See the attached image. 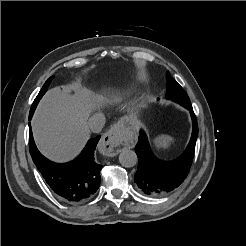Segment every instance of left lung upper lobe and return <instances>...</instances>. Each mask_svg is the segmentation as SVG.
Masks as SVG:
<instances>
[{
	"instance_id": "left-lung-upper-lobe-1",
	"label": "left lung upper lobe",
	"mask_w": 246,
	"mask_h": 246,
	"mask_svg": "<svg viewBox=\"0 0 246 246\" xmlns=\"http://www.w3.org/2000/svg\"><path fill=\"white\" fill-rule=\"evenodd\" d=\"M167 79V98L181 104L185 105L190 103L187 93L182 89V87L171 77L170 73H166Z\"/></svg>"
}]
</instances>
